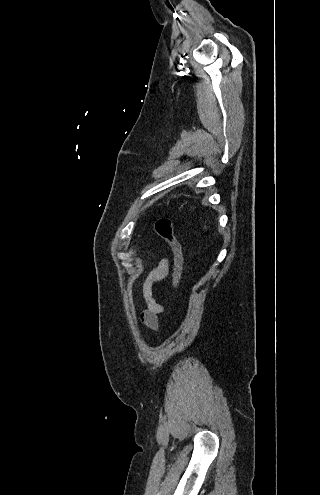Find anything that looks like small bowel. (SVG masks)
I'll return each mask as SVG.
<instances>
[{
    "label": "small bowel",
    "instance_id": "obj_1",
    "mask_svg": "<svg viewBox=\"0 0 320 495\" xmlns=\"http://www.w3.org/2000/svg\"><path fill=\"white\" fill-rule=\"evenodd\" d=\"M169 271V261L166 258L160 260L141 286V295L145 304V311L141 315L143 323L150 329L155 330L158 326L157 316L163 311V306L154 297L153 286L156 282L164 279Z\"/></svg>",
    "mask_w": 320,
    "mask_h": 495
}]
</instances>
